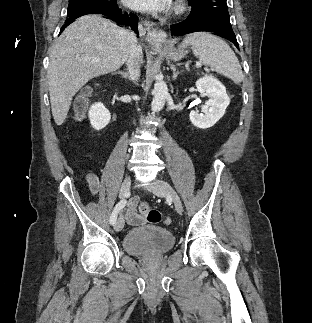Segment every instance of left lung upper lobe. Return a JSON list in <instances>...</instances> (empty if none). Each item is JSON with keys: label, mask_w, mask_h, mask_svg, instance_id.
Wrapping results in <instances>:
<instances>
[{"label": "left lung upper lobe", "mask_w": 312, "mask_h": 323, "mask_svg": "<svg viewBox=\"0 0 312 323\" xmlns=\"http://www.w3.org/2000/svg\"><path fill=\"white\" fill-rule=\"evenodd\" d=\"M189 4L192 6L190 15L188 19L198 18L200 15L206 12V9L211 8L214 5H222L223 11H228L226 0H188ZM210 11H216V9H211Z\"/></svg>", "instance_id": "obj_1"}]
</instances>
